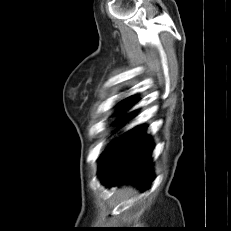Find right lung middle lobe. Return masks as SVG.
Here are the masks:
<instances>
[{
  "mask_svg": "<svg viewBox=\"0 0 231 231\" xmlns=\"http://www.w3.org/2000/svg\"><path fill=\"white\" fill-rule=\"evenodd\" d=\"M121 104H122V107H121V109L117 112V114L122 113V112L126 111L127 109H129L130 107H132V106L135 104V101L126 100V101H123ZM134 113H135V112L130 113V114H128V115H125V116L121 117L117 122H119V121H121V120H123V119L129 117L130 115H133Z\"/></svg>",
  "mask_w": 231,
  "mask_h": 231,
  "instance_id": "obj_1",
  "label": "right lung middle lobe"
}]
</instances>
